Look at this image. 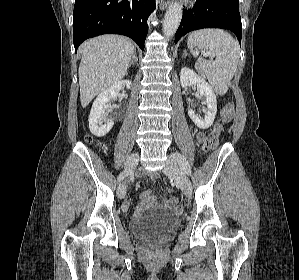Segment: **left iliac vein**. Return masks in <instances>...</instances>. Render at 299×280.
I'll use <instances>...</instances> for the list:
<instances>
[{
    "label": "left iliac vein",
    "instance_id": "1",
    "mask_svg": "<svg viewBox=\"0 0 299 280\" xmlns=\"http://www.w3.org/2000/svg\"><path fill=\"white\" fill-rule=\"evenodd\" d=\"M163 172L170 177L177 178L181 183L185 195L187 197L191 196L192 183L188 176L179 169L176 161L173 160L171 156L169 157L165 167L163 168Z\"/></svg>",
    "mask_w": 299,
    "mask_h": 280
}]
</instances>
